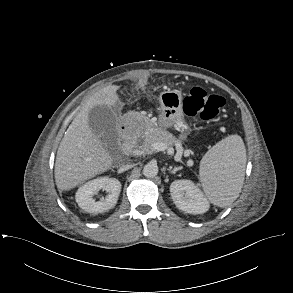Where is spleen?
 Returning a JSON list of instances; mask_svg holds the SVG:
<instances>
[{"label":"spleen","instance_id":"spleen-1","mask_svg":"<svg viewBox=\"0 0 293 293\" xmlns=\"http://www.w3.org/2000/svg\"><path fill=\"white\" fill-rule=\"evenodd\" d=\"M246 149L239 135H231L215 144L200 162V181L208 199L226 207L241 192L246 166Z\"/></svg>","mask_w":293,"mask_h":293}]
</instances>
